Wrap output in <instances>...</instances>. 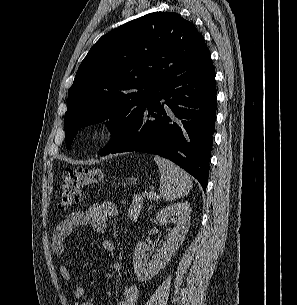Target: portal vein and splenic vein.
Here are the masks:
<instances>
[{"mask_svg": "<svg viewBox=\"0 0 297 305\" xmlns=\"http://www.w3.org/2000/svg\"><path fill=\"white\" fill-rule=\"evenodd\" d=\"M143 196H146L149 200H154V199L157 198V194L154 193V192H147V191H145L143 193Z\"/></svg>", "mask_w": 297, "mask_h": 305, "instance_id": "1", "label": "portal vein and splenic vein"}]
</instances>
